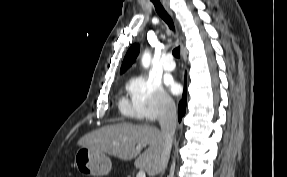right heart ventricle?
<instances>
[{"instance_id": "right-heart-ventricle-1", "label": "right heart ventricle", "mask_w": 287, "mask_h": 177, "mask_svg": "<svg viewBox=\"0 0 287 177\" xmlns=\"http://www.w3.org/2000/svg\"><path fill=\"white\" fill-rule=\"evenodd\" d=\"M120 108H121V111L125 114H130L132 115L133 114V107L131 104L128 103L127 100L125 99H122L121 102H120Z\"/></svg>"}]
</instances>
